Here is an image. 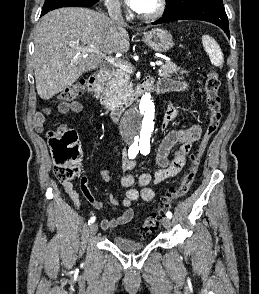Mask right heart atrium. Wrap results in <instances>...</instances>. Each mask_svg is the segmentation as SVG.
I'll use <instances>...</instances> for the list:
<instances>
[{"mask_svg":"<svg viewBox=\"0 0 259 294\" xmlns=\"http://www.w3.org/2000/svg\"><path fill=\"white\" fill-rule=\"evenodd\" d=\"M108 10L113 14H121L123 6L119 0H104Z\"/></svg>","mask_w":259,"mask_h":294,"instance_id":"right-heart-atrium-1","label":"right heart atrium"}]
</instances>
